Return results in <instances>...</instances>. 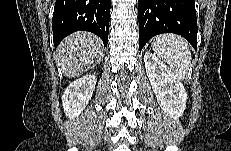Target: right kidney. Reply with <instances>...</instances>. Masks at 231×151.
<instances>
[{
	"mask_svg": "<svg viewBox=\"0 0 231 151\" xmlns=\"http://www.w3.org/2000/svg\"><path fill=\"white\" fill-rule=\"evenodd\" d=\"M96 82V76L87 75L70 83L62 95L66 116L75 118L85 109L92 97Z\"/></svg>",
	"mask_w": 231,
	"mask_h": 151,
	"instance_id": "ca27d5eb",
	"label": "right kidney"
}]
</instances>
